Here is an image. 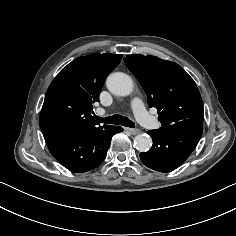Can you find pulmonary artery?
Returning <instances> with one entry per match:
<instances>
[{"label":"pulmonary artery","mask_w":236,"mask_h":236,"mask_svg":"<svg viewBox=\"0 0 236 236\" xmlns=\"http://www.w3.org/2000/svg\"><path fill=\"white\" fill-rule=\"evenodd\" d=\"M131 107H132L133 113L139 123L146 124L149 121L150 116L147 113V111L144 107V104L140 99L133 100ZM104 113H105V111L101 108L96 110V114L99 116L103 115Z\"/></svg>","instance_id":"obj_1"}]
</instances>
